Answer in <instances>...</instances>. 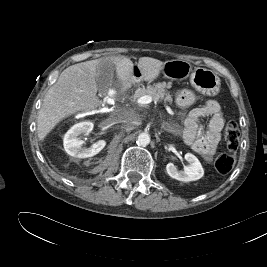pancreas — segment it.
<instances>
[{
	"instance_id": "1",
	"label": "pancreas",
	"mask_w": 267,
	"mask_h": 267,
	"mask_svg": "<svg viewBox=\"0 0 267 267\" xmlns=\"http://www.w3.org/2000/svg\"><path fill=\"white\" fill-rule=\"evenodd\" d=\"M166 83H158L155 86H148L147 89H138L134 94V99H138L142 96L149 95L153 101L165 100L166 102L172 103V97L166 92Z\"/></svg>"
}]
</instances>
